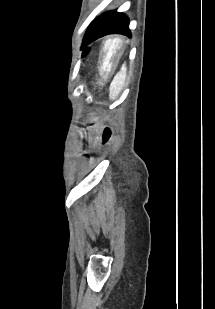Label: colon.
<instances>
[{"label": "colon", "instance_id": "5ec220e1", "mask_svg": "<svg viewBox=\"0 0 215 309\" xmlns=\"http://www.w3.org/2000/svg\"><path fill=\"white\" fill-rule=\"evenodd\" d=\"M111 138H112V128L108 126L104 129V132L102 134V141L104 143H107L111 140Z\"/></svg>", "mask_w": 215, "mask_h": 309}]
</instances>
